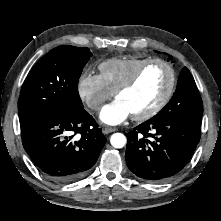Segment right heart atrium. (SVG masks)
<instances>
[{
	"label": "right heart atrium",
	"mask_w": 221,
	"mask_h": 221,
	"mask_svg": "<svg viewBox=\"0 0 221 221\" xmlns=\"http://www.w3.org/2000/svg\"><path fill=\"white\" fill-rule=\"evenodd\" d=\"M76 88L80 99L93 111L100 110L103 104L113 96V92L97 74L82 73Z\"/></svg>",
	"instance_id": "right-heart-atrium-1"
}]
</instances>
